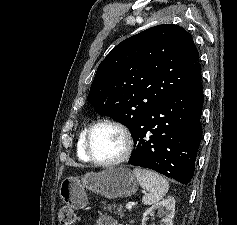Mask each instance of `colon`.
Here are the masks:
<instances>
[{"instance_id": "obj_1", "label": "colon", "mask_w": 237, "mask_h": 225, "mask_svg": "<svg viewBox=\"0 0 237 225\" xmlns=\"http://www.w3.org/2000/svg\"><path fill=\"white\" fill-rule=\"evenodd\" d=\"M60 225H73L76 222L75 212L69 207H63L59 211Z\"/></svg>"}]
</instances>
